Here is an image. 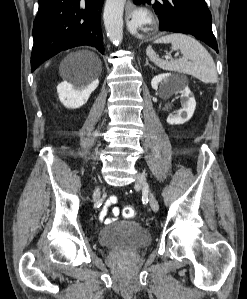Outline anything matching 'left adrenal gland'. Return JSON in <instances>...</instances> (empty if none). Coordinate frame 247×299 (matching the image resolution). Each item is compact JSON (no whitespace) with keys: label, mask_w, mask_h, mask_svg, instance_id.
Wrapping results in <instances>:
<instances>
[{"label":"left adrenal gland","mask_w":247,"mask_h":299,"mask_svg":"<svg viewBox=\"0 0 247 299\" xmlns=\"http://www.w3.org/2000/svg\"><path fill=\"white\" fill-rule=\"evenodd\" d=\"M148 65L153 69V67L149 64L148 59H146L145 66H148Z\"/></svg>","instance_id":"1"}]
</instances>
